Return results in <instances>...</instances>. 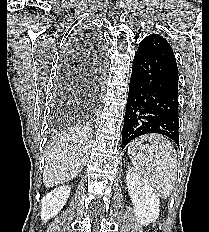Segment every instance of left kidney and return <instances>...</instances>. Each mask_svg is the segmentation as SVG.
Returning <instances> with one entry per match:
<instances>
[{"mask_svg": "<svg viewBox=\"0 0 209 232\" xmlns=\"http://www.w3.org/2000/svg\"><path fill=\"white\" fill-rule=\"evenodd\" d=\"M126 180L136 218L143 225L150 224L159 216V194L146 180L131 170L127 171Z\"/></svg>", "mask_w": 209, "mask_h": 232, "instance_id": "left-kidney-1", "label": "left kidney"}]
</instances>
